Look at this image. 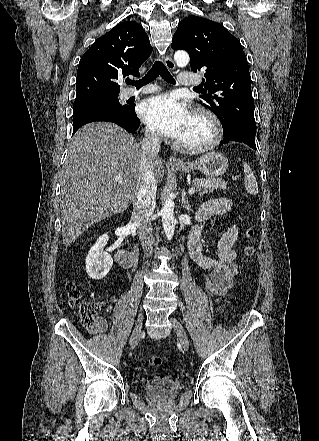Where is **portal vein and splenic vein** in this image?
<instances>
[{"mask_svg": "<svg viewBox=\"0 0 319 441\" xmlns=\"http://www.w3.org/2000/svg\"><path fill=\"white\" fill-rule=\"evenodd\" d=\"M116 180L119 181V182H121V181H122V177H121V176H117V177H116ZM194 192H195V187H192V188H190V189L188 190V194H189V195H192Z\"/></svg>", "mask_w": 319, "mask_h": 441, "instance_id": "portal-vein-and-splenic-vein-1", "label": "portal vein and splenic vein"}]
</instances>
